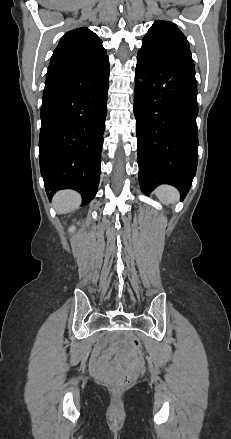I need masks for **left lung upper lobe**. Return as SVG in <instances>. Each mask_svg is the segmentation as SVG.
I'll return each instance as SVG.
<instances>
[{"label":"left lung upper lobe","instance_id":"obj_1","mask_svg":"<svg viewBox=\"0 0 231 439\" xmlns=\"http://www.w3.org/2000/svg\"><path fill=\"white\" fill-rule=\"evenodd\" d=\"M139 52L160 61L194 67L186 37L176 24L169 21H155L145 35Z\"/></svg>","mask_w":231,"mask_h":439}]
</instances>
